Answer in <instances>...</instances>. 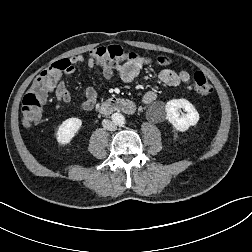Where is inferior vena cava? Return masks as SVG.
Wrapping results in <instances>:
<instances>
[{"label": "inferior vena cava", "instance_id": "inferior-vena-cava-1", "mask_svg": "<svg viewBox=\"0 0 252 252\" xmlns=\"http://www.w3.org/2000/svg\"><path fill=\"white\" fill-rule=\"evenodd\" d=\"M103 128L109 131H115L117 129L116 124L108 119L102 121Z\"/></svg>", "mask_w": 252, "mask_h": 252}]
</instances>
